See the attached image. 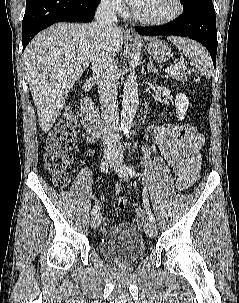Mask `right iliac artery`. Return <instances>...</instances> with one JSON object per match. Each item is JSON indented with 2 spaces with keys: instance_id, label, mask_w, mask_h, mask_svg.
<instances>
[{
  "instance_id": "82829eb1",
  "label": "right iliac artery",
  "mask_w": 239,
  "mask_h": 303,
  "mask_svg": "<svg viewBox=\"0 0 239 303\" xmlns=\"http://www.w3.org/2000/svg\"><path fill=\"white\" fill-rule=\"evenodd\" d=\"M100 169H101V171L107 173L108 172V164L105 161H103L100 164ZM99 209H100V206L99 205H95L94 208L91 211L92 215H95L98 212Z\"/></svg>"
}]
</instances>
